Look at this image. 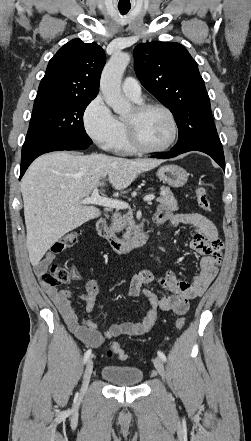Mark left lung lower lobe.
I'll return each instance as SVG.
<instances>
[{
	"instance_id": "0a47b994",
	"label": "left lung lower lobe",
	"mask_w": 251,
	"mask_h": 441,
	"mask_svg": "<svg viewBox=\"0 0 251 441\" xmlns=\"http://www.w3.org/2000/svg\"><path fill=\"white\" fill-rule=\"evenodd\" d=\"M189 151H200L211 156L225 171L222 144L218 137L213 118L202 116L178 129V142L167 154L151 158H172Z\"/></svg>"
}]
</instances>
